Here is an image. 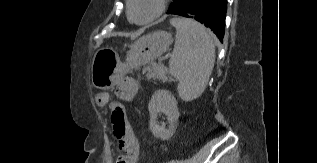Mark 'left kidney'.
<instances>
[{"label": "left kidney", "instance_id": "left-kidney-1", "mask_svg": "<svg viewBox=\"0 0 317 163\" xmlns=\"http://www.w3.org/2000/svg\"><path fill=\"white\" fill-rule=\"evenodd\" d=\"M150 113L149 127L152 134L162 140L169 139L175 132L180 116L177 101L174 96L167 90H157L153 95L148 105ZM163 113L168 119V128H165V123L157 122L158 114Z\"/></svg>", "mask_w": 317, "mask_h": 163}]
</instances>
